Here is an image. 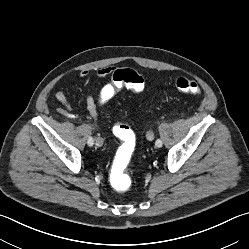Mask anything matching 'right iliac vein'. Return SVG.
<instances>
[{
	"label": "right iliac vein",
	"mask_w": 249,
	"mask_h": 249,
	"mask_svg": "<svg viewBox=\"0 0 249 249\" xmlns=\"http://www.w3.org/2000/svg\"><path fill=\"white\" fill-rule=\"evenodd\" d=\"M103 143H104V141H103V139H102L101 137H98V138L96 139V141H95V145H96L97 147H101V146L103 145Z\"/></svg>",
	"instance_id": "1"
}]
</instances>
